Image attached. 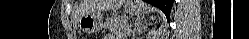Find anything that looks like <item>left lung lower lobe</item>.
I'll return each mask as SVG.
<instances>
[{
	"label": "left lung lower lobe",
	"instance_id": "1",
	"mask_svg": "<svg viewBox=\"0 0 249 39\" xmlns=\"http://www.w3.org/2000/svg\"><path fill=\"white\" fill-rule=\"evenodd\" d=\"M145 1H147L148 3L154 6L159 7L169 19L170 11H171L174 0H145Z\"/></svg>",
	"mask_w": 249,
	"mask_h": 39
}]
</instances>
